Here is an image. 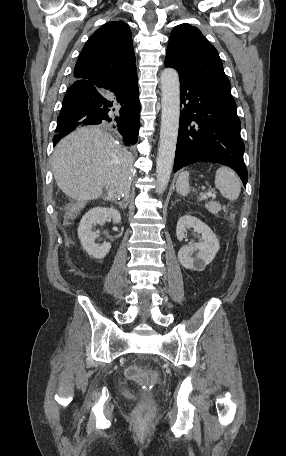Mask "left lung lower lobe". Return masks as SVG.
I'll return each instance as SVG.
<instances>
[{
    "label": "left lung lower lobe",
    "instance_id": "left-lung-lower-lobe-1",
    "mask_svg": "<svg viewBox=\"0 0 286 456\" xmlns=\"http://www.w3.org/2000/svg\"><path fill=\"white\" fill-rule=\"evenodd\" d=\"M179 78L183 107L174 172L195 162H216L235 170L246 187L244 143L234 99L186 76Z\"/></svg>",
    "mask_w": 286,
    "mask_h": 456
}]
</instances>
